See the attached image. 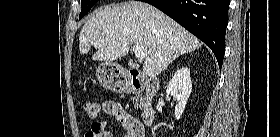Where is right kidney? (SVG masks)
Wrapping results in <instances>:
<instances>
[{
	"label": "right kidney",
	"instance_id": "right-kidney-1",
	"mask_svg": "<svg viewBox=\"0 0 280 137\" xmlns=\"http://www.w3.org/2000/svg\"><path fill=\"white\" fill-rule=\"evenodd\" d=\"M191 91L192 82L190 70L188 67H182L176 71L167 86V93L172 95L178 101L175 106L176 120H179L182 116Z\"/></svg>",
	"mask_w": 280,
	"mask_h": 137
}]
</instances>
